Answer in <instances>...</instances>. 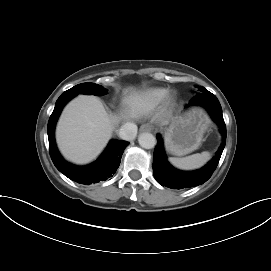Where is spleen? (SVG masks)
I'll return each mask as SVG.
<instances>
[{
  "label": "spleen",
  "instance_id": "spleen-1",
  "mask_svg": "<svg viewBox=\"0 0 271 271\" xmlns=\"http://www.w3.org/2000/svg\"><path fill=\"white\" fill-rule=\"evenodd\" d=\"M210 153L204 151L183 158L170 157L169 162L182 170H193L202 167L209 159Z\"/></svg>",
  "mask_w": 271,
  "mask_h": 271
}]
</instances>
